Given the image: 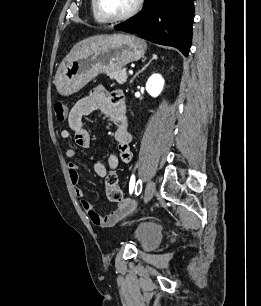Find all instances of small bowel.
I'll list each match as a JSON object with an SVG mask.
<instances>
[{
  "instance_id": "small-bowel-1",
  "label": "small bowel",
  "mask_w": 261,
  "mask_h": 306,
  "mask_svg": "<svg viewBox=\"0 0 261 306\" xmlns=\"http://www.w3.org/2000/svg\"><path fill=\"white\" fill-rule=\"evenodd\" d=\"M95 111L102 112L115 122L116 129L114 132V139L117 143L118 154H110L107 157L106 164L110 170H116L120 162L129 163L132 160V152L130 149L132 135L126 114L125 101L120 92H110L105 88L98 87L90 94L77 101L68 114L69 128L63 129L60 132V136L64 140H69L73 137L77 147L89 148L91 138L89 132L84 127L83 118ZM77 154V148L73 147L66 150L65 157L71 160L74 159ZM107 167L100 160H96L93 163L95 173L101 178L107 175ZM78 169L76 163L70 162L68 164L69 177L74 187L75 194L80 199L84 211L93 224L100 227H111L135 211V201L126 199L124 203L106 215L97 212L84 198L83 189L79 184Z\"/></svg>"
}]
</instances>
